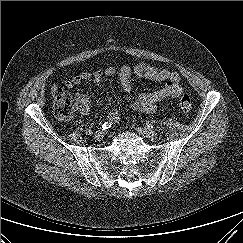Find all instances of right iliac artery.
Returning <instances> with one entry per match:
<instances>
[{
	"mask_svg": "<svg viewBox=\"0 0 243 243\" xmlns=\"http://www.w3.org/2000/svg\"><path fill=\"white\" fill-rule=\"evenodd\" d=\"M114 123L113 119H108L105 123L102 124V129L107 130L109 129Z\"/></svg>",
	"mask_w": 243,
	"mask_h": 243,
	"instance_id": "right-iliac-artery-1",
	"label": "right iliac artery"
}]
</instances>
